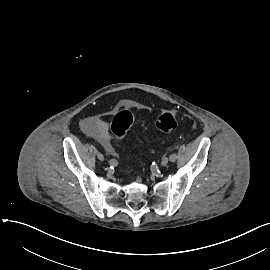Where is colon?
<instances>
[{"mask_svg":"<svg viewBox=\"0 0 270 270\" xmlns=\"http://www.w3.org/2000/svg\"><path fill=\"white\" fill-rule=\"evenodd\" d=\"M134 122L132 113L122 110L117 113L111 124V130L115 140L122 141ZM156 126L162 132H172L177 126V115L173 110H164L156 119Z\"/></svg>","mask_w":270,"mask_h":270,"instance_id":"obj_1","label":"colon"}]
</instances>
